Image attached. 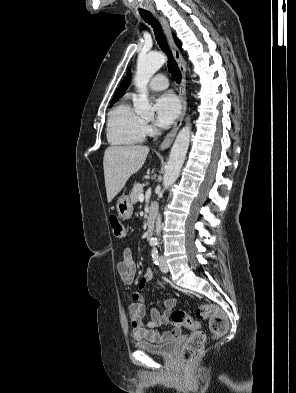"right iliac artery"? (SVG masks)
I'll list each match as a JSON object with an SVG mask.
<instances>
[{
    "label": "right iliac artery",
    "mask_w": 296,
    "mask_h": 393,
    "mask_svg": "<svg viewBox=\"0 0 296 393\" xmlns=\"http://www.w3.org/2000/svg\"><path fill=\"white\" fill-rule=\"evenodd\" d=\"M150 245H151V246H156V245H157V242H156V241H150Z\"/></svg>",
    "instance_id": "right-iliac-artery-1"
}]
</instances>
